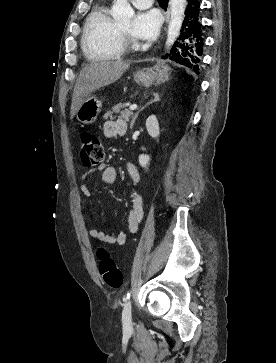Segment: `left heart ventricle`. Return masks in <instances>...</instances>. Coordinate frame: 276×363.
Segmentation results:
<instances>
[{
	"label": "left heart ventricle",
	"instance_id": "obj_1",
	"mask_svg": "<svg viewBox=\"0 0 276 363\" xmlns=\"http://www.w3.org/2000/svg\"><path fill=\"white\" fill-rule=\"evenodd\" d=\"M120 27L125 30L129 35L131 34L130 33V28H131V21H128L126 23H121L120 24ZM132 36V35H131Z\"/></svg>",
	"mask_w": 276,
	"mask_h": 363
}]
</instances>
